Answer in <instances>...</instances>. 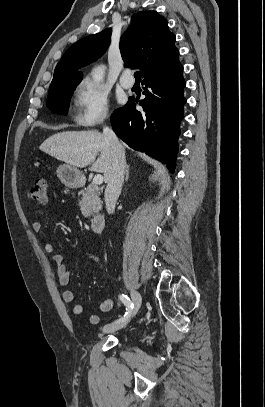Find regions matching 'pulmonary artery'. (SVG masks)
Masks as SVG:
<instances>
[{"instance_id":"obj_1","label":"pulmonary artery","mask_w":265,"mask_h":407,"mask_svg":"<svg viewBox=\"0 0 265 407\" xmlns=\"http://www.w3.org/2000/svg\"><path fill=\"white\" fill-rule=\"evenodd\" d=\"M130 74V70H125L119 79L121 86L125 89H130L134 85V81L130 78Z\"/></svg>"}]
</instances>
